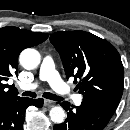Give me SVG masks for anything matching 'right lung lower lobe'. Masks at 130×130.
<instances>
[{
  "mask_svg": "<svg viewBox=\"0 0 130 130\" xmlns=\"http://www.w3.org/2000/svg\"><path fill=\"white\" fill-rule=\"evenodd\" d=\"M43 99L15 97L0 100V130H22L29 106L41 108Z\"/></svg>",
  "mask_w": 130,
  "mask_h": 130,
  "instance_id": "obj_1",
  "label": "right lung lower lobe"
}]
</instances>
